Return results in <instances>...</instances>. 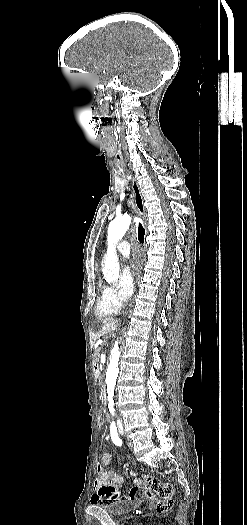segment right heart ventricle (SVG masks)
I'll use <instances>...</instances> for the list:
<instances>
[{
  "mask_svg": "<svg viewBox=\"0 0 247 525\" xmlns=\"http://www.w3.org/2000/svg\"><path fill=\"white\" fill-rule=\"evenodd\" d=\"M100 293L102 294V297L105 295L106 293V286L102 285L100 283ZM119 312V308L116 307V306H113V305H109L107 304L103 299H101L96 307H95V317H116V315L118 314Z\"/></svg>",
  "mask_w": 247,
  "mask_h": 525,
  "instance_id": "right-heart-ventricle-1",
  "label": "right heart ventricle"
}]
</instances>
